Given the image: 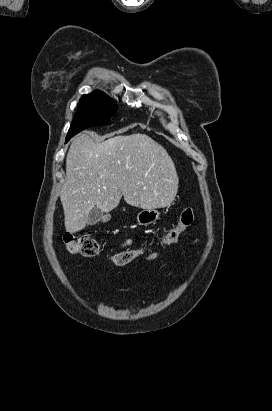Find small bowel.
Segmentation results:
<instances>
[{
  "label": "small bowel",
  "mask_w": 272,
  "mask_h": 411,
  "mask_svg": "<svg viewBox=\"0 0 272 411\" xmlns=\"http://www.w3.org/2000/svg\"><path fill=\"white\" fill-rule=\"evenodd\" d=\"M128 244H129V241H127V242L125 243V245H128ZM157 256H158V253L153 252V253L148 254L147 257H146V259H147V260H153V259H155Z\"/></svg>",
  "instance_id": "c3829d8e"
}]
</instances>
